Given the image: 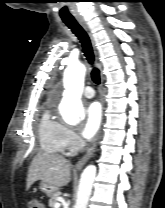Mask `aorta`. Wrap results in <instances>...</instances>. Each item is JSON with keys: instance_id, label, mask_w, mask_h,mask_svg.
Instances as JSON below:
<instances>
[{"instance_id": "1", "label": "aorta", "mask_w": 165, "mask_h": 208, "mask_svg": "<svg viewBox=\"0 0 165 208\" xmlns=\"http://www.w3.org/2000/svg\"><path fill=\"white\" fill-rule=\"evenodd\" d=\"M85 72V66L80 63L69 64L65 71V91L59 109L64 121L70 124L78 123L84 117L81 95ZM95 176L94 165L87 166L82 172L74 208H87Z\"/></svg>"}]
</instances>
